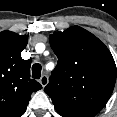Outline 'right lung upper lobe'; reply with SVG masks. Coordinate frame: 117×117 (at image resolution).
<instances>
[{"label":"right lung upper lobe","instance_id":"cb5924a9","mask_svg":"<svg viewBox=\"0 0 117 117\" xmlns=\"http://www.w3.org/2000/svg\"><path fill=\"white\" fill-rule=\"evenodd\" d=\"M27 36L11 31L0 33V117H20L32 92L42 86L30 79V60L21 58Z\"/></svg>","mask_w":117,"mask_h":117}]
</instances>
